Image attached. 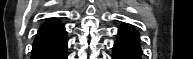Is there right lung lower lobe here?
Instances as JSON below:
<instances>
[{
  "label": "right lung lower lobe",
  "instance_id": "obj_1",
  "mask_svg": "<svg viewBox=\"0 0 193 59\" xmlns=\"http://www.w3.org/2000/svg\"><path fill=\"white\" fill-rule=\"evenodd\" d=\"M31 59H67L66 32L34 42Z\"/></svg>",
  "mask_w": 193,
  "mask_h": 59
}]
</instances>
